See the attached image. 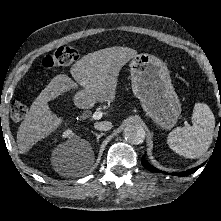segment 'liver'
<instances>
[{"label":"liver","mask_w":221,"mask_h":221,"mask_svg":"<svg viewBox=\"0 0 221 221\" xmlns=\"http://www.w3.org/2000/svg\"><path fill=\"white\" fill-rule=\"evenodd\" d=\"M137 51L128 47H109L83 56L70 69L74 80L84 88L90 102L111 101L115 98L119 72ZM77 88L67 75L55 76L34 100L19 126L17 144L22 153L55 131L63 119L53 114L48 102Z\"/></svg>","instance_id":"1"}]
</instances>
